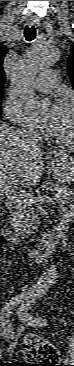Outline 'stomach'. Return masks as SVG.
Wrapping results in <instances>:
<instances>
[{
  "label": "stomach",
  "mask_w": 74,
  "mask_h": 366,
  "mask_svg": "<svg viewBox=\"0 0 74 366\" xmlns=\"http://www.w3.org/2000/svg\"><path fill=\"white\" fill-rule=\"evenodd\" d=\"M53 172L58 180L72 182L74 179V158L68 154L57 152L53 159Z\"/></svg>",
  "instance_id": "stomach-1"
}]
</instances>
